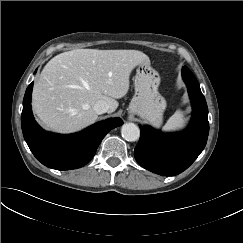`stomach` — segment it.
I'll return each mask as SVG.
<instances>
[{
    "label": "stomach",
    "instance_id": "stomach-1",
    "mask_svg": "<svg viewBox=\"0 0 243 243\" xmlns=\"http://www.w3.org/2000/svg\"><path fill=\"white\" fill-rule=\"evenodd\" d=\"M159 73L150 65V60L140 63L134 78L135 95L130 102L128 112L138 115L155 127L162 124L167 103L159 93Z\"/></svg>",
    "mask_w": 243,
    "mask_h": 243
}]
</instances>
